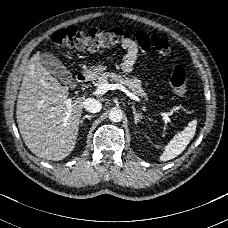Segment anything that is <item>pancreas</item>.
Segmentation results:
<instances>
[{
  "mask_svg": "<svg viewBox=\"0 0 228 228\" xmlns=\"http://www.w3.org/2000/svg\"><path fill=\"white\" fill-rule=\"evenodd\" d=\"M97 81L99 85L102 83L109 84L119 82L125 85L133 93L146 98V92L142 88L141 82L136 77H128L114 72H106L99 76Z\"/></svg>",
  "mask_w": 228,
  "mask_h": 228,
  "instance_id": "1",
  "label": "pancreas"
}]
</instances>
